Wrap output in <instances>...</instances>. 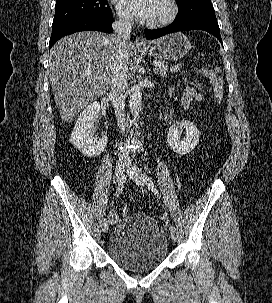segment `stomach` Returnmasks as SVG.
Here are the masks:
<instances>
[{"mask_svg":"<svg viewBox=\"0 0 272 303\" xmlns=\"http://www.w3.org/2000/svg\"><path fill=\"white\" fill-rule=\"evenodd\" d=\"M191 47L190 40L184 34L173 33L151 42L148 47L141 48L140 51L159 60H179Z\"/></svg>","mask_w":272,"mask_h":303,"instance_id":"obj_1","label":"stomach"}]
</instances>
